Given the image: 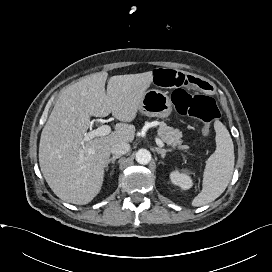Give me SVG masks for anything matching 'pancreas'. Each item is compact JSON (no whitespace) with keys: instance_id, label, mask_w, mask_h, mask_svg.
<instances>
[{"instance_id":"1","label":"pancreas","mask_w":272,"mask_h":272,"mask_svg":"<svg viewBox=\"0 0 272 272\" xmlns=\"http://www.w3.org/2000/svg\"><path fill=\"white\" fill-rule=\"evenodd\" d=\"M158 135L161 137L163 142H165L167 145L171 146L172 148L177 147L178 149L185 150V151L189 149V146L182 145L183 143V140L181 139L182 132L179 129H174L162 123L159 126Z\"/></svg>"}]
</instances>
